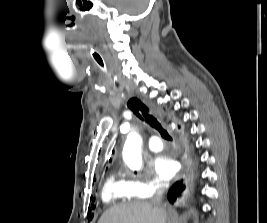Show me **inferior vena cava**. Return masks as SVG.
I'll return each mask as SVG.
<instances>
[{
	"mask_svg": "<svg viewBox=\"0 0 267 223\" xmlns=\"http://www.w3.org/2000/svg\"><path fill=\"white\" fill-rule=\"evenodd\" d=\"M167 187H168V184H166V183H159L157 185V191H156L154 197L152 198V203L154 205L161 206L163 194H164V191L166 190Z\"/></svg>",
	"mask_w": 267,
	"mask_h": 223,
	"instance_id": "inferior-vena-cava-1",
	"label": "inferior vena cava"
}]
</instances>
